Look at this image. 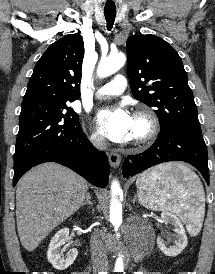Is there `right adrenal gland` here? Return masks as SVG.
Masks as SVG:
<instances>
[{"label":"right adrenal gland","instance_id":"2a0ac1e0","mask_svg":"<svg viewBox=\"0 0 215 274\" xmlns=\"http://www.w3.org/2000/svg\"><path fill=\"white\" fill-rule=\"evenodd\" d=\"M85 205H89V206H93V203L91 201V195L90 193L88 192L87 195H86V200L84 201V203L82 204V207L85 206Z\"/></svg>","mask_w":215,"mask_h":274}]
</instances>
